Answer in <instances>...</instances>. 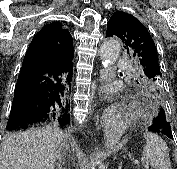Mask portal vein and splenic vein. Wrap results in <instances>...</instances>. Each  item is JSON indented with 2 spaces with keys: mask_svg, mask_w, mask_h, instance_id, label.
<instances>
[{
  "mask_svg": "<svg viewBox=\"0 0 177 169\" xmlns=\"http://www.w3.org/2000/svg\"><path fill=\"white\" fill-rule=\"evenodd\" d=\"M145 168H146V169H149V165H146Z\"/></svg>",
  "mask_w": 177,
  "mask_h": 169,
  "instance_id": "obj_1",
  "label": "portal vein and splenic vein"
}]
</instances>
